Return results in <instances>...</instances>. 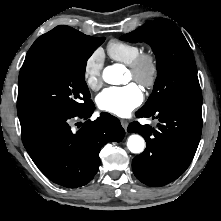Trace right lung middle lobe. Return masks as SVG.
Listing matches in <instances>:
<instances>
[{
	"mask_svg": "<svg viewBox=\"0 0 221 221\" xmlns=\"http://www.w3.org/2000/svg\"><path fill=\"white\" fill-rule=\"evenodd\" d=\"M104 40L105 37H94L50 51L20 71L17 100L20 122L85 108L91 102L84 80L87 60Z\"/></svg>",
	"mask_w": 221,
	"mask_h": 221,
	"instance_id": "right-lung-middle-lobe-1",
	"label": "right lung middle lobe"
}]
</instances>
